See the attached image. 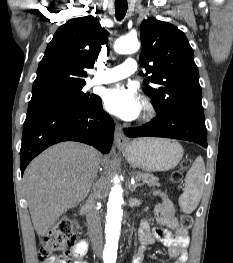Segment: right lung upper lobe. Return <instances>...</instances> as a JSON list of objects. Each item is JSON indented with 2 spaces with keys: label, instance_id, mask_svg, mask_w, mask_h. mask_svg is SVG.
<instances>
[{
  "label": "right lung upper lobe",
  "instance_id": "cb5924a9",
  "mask_svg": "<svg viewBox=\"0 0 233 263\" xmlns=\"http://www.w3.org/2000/svg\"><path fill=\"white\" fill-rule=\"evenodd\" d=\"M107 36L93 16L71 19L60 26L39 63L32 96L86 84L84 69L93 68Z\"/></svg>",
  "mask_w": 233,
  "mask_h": 263
}]
</instances>
